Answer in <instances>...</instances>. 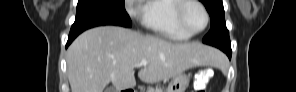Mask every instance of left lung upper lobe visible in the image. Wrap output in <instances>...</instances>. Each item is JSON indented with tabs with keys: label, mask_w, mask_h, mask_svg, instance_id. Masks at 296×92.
Wrapping results in <instances>:
<instances>
[{
	"label": "left lung upper lobe",
	"mask_w": 296,
	"mask_h": 92,
	"mask_svg": "<svg viewBox=\"0 0 296 92\" xmlns=\"http://www.w3.org/2000/svg\"><path fill=\"white\" fill-rule=\"evenodd\" d=\"M210 15L211 29L203 38L205 44L218 48L230 47L229 32L226 28L222 0H200Z\"/></svg>",
	"instance_id": "left-lung-upper-lobe-1"
}]
</instances>
